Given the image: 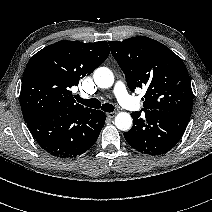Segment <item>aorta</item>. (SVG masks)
<instances>
[{
    "mask_svg": "<svg viewBox=\"0 0 212 212\" xmlns=\"http://www.w3.org/2000/svg\"><path fill=\"white\" fill-rule=\"evenodd\" d=\"M93 78L100 88H110L114 83V75L106 67L97 68L94 71ZM115 125L119 130L128 131L132 126V117L127 112H120L115 117Z\"/></svg>",
    "mask_w": 212,
    "mask_h": 212,
    "instance_id": "1",
    "label": "aorta"
}]
</instances>
